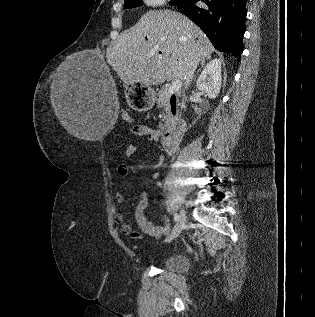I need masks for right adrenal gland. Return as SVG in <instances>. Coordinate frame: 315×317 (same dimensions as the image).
Segmentation results:
<instances>
[{"mask_svg": "<svg viewBox=\"0 0 315 317\" xmlns=\"http://www.w3.org/2000/svg\"><path fill=\"white\" fill-rule=\"evenodd\" d=\"M210 59H211V56H210V55L207 56V57H203V58L201 59V65L203 66L204 63H205V61H206V60H210Z\"/></svg>", "mask_w": 315, "mask_h": 317, "instance_id": "1", "label": "right adrenal gland"}]
</instances>
